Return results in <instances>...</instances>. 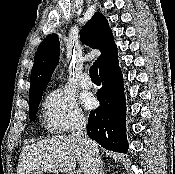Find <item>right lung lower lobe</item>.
I'll return each instance as SVG.
<instances>
[{
	"label": "right lung lower lobe",
	"instance_id": "1",
	"mask_svg": "<svg viewBox=\"0 0 175 174\" xmlns=\"http://www.w3.org/2000/svg\"><path fill=\"white\" fill-rule=\"evenodd\" d=\"M100 77V106L90 112L87 134L108 150L126 152L125 94L117 57L100 70Z\"/></svg>",
	"mask_w": 175,
	"mask_h": 174
}]
</instances>
